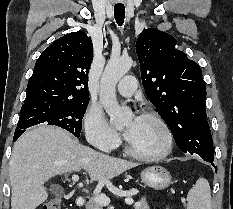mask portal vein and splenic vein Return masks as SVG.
Listing matches in <instances>:
<instances>
[{
	"label": "portal vein and splenic vein",
	"mask_w": 233,
	"mask_h": 209,
	"mask_svg": "<svg viewBox=\"0 0 233 209\" xmlns=\"http://www.w3.org/2000/svg\"><path fill=\"white\" fill-rule=\"evenodd\" d=\"M72 180L75 181V182L78 181V180H79V176H78V175H73V176H72ZM93 198H94V200H95L98 204L103 205V206H108L109 203H110V198L107 197V196L104 195V194L95 195ZM133 202H134L133 199L130 198V197H128V198L125 199V203H126L127 205H131V204H133Z\"/></svg>",
	"instance_id": "obj_1"
}]
</instances>
